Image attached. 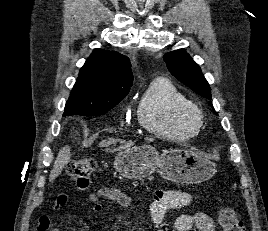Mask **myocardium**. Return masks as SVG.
Returning a JSON list of instances; mask_svg holds the SVG:
<instances>
[{
	"instance_id": "myocardium-1",
	"label": "myocardium",
	"mask_w": 268,
	"mask_h": 231,
	"mask_svg": "<svg viewBox=\"0 0 268 231\" xmlns=\"http://www.w3.org/2000/svg\"><path fill=\"white\" fill-rule=\"evenodd\" d=\"M188 116L190 119L194 120L201 125L203 121V112L197 105H191L188 110Z\"/></svg>"
}]
</instances>
